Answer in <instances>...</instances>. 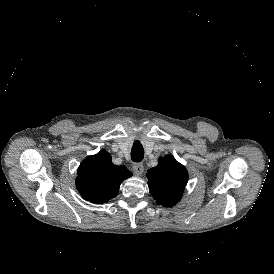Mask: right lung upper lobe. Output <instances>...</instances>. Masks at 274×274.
I'll return each instance as SVG.
<instances>
[{
	"instance_id": "obj_1",
	"label": "right lung upper lobe",
	"mask_w": 274,
	"mask_h": 274,
	"mask_svg": "<svg viewBox=\"0 0 274 274\" xmlns=\"http://www.w3.org/2000/svg\"><path fill=\"white\" fill-rule=\"evenodd\" d=\"M76 187L81 196L94 204L116 197L120 184L132 176L125 166L112 163L111 155L101 150L87 157L77 171Z\"/></svg>"
}]
</instances>
